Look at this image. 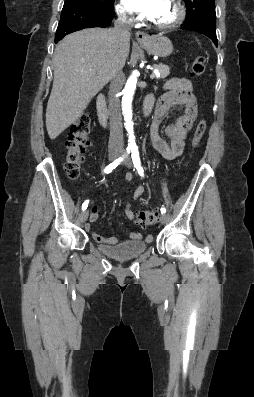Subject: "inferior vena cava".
<instances>
[{"label":"inferior vena cava","mask_w":254,"mask_h":397,"mask_svg":"<svg viewBox=\"0 0 254 397\" xmlns=\"http://www.w3.org/2000/svg\"><path fill=\"white\" fill-rule=\"evenodd\" d=\"M133 21L128 19L124 13L118 15L112 29V39L117 45H122L130 39V30ZM111 83L108 93L109 102V121H110V138L109 148L122 150L123 148V129L120 112V101L117 97L121 90L123 82L122 67L115 66L112 70Z\"/></svg>","instance_id":"602c4592"}]
</instances>
